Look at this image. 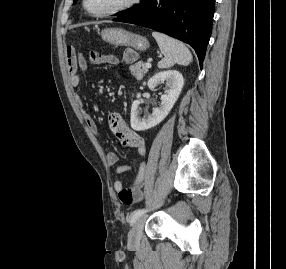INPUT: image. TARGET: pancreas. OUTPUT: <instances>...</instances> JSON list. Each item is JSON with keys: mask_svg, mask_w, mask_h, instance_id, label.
Segmentation results:
<instances>
[{"mask_svg": "<svg viewBox=\"0 0 286 269\" xmlns=\"http://www.w3.org/2000/svg\"><path fill=\"white\" fill-rule=\"evenodd\" d=\"M129 69L131 71V74L135 76L137 80H142L144 75L148 72V68L142 61H139L135 65H131Z\"/></svg>", "mask_w": 286, "mask_h": 269, "instance_id": "pancreas-1", "label": "pancreas"}]
</instances>
